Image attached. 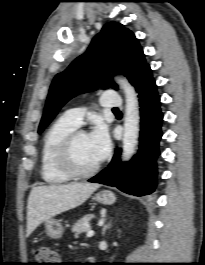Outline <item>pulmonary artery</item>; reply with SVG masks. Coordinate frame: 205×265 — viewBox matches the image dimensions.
<instances>
[{"mask_svg":"<svg viewBox=\"0 0 205 265\" xmlns=\"http://www.w3.org/2000/svg\"><path fill=\"white\" fill-rule=\"evenodd\" d=\"M101 105L106 108H119L122 106V99L115 91H107L102 95ZM84 116V110L81 108H72L65 112L64 117L76 125H81Z\"/></svg>","mask_w":205,"mask_h":265,"instance_id":"obj_1","label":"pulmonary artery"}]
</instances>
